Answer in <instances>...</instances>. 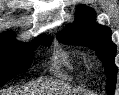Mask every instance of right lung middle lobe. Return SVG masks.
Segmentation results:
<instances>
[{
  "label": "right lung middle lobe",
  "instance_id": "1",
  "mask_svg": "<svg viewBox=\"0 0 119 95\" xmlns=\"http://www.w3.org/2000/svg\"><path fill=\"white\" fill-rule=\"evenodd\" d=\"M51 41L52 37L44 35L34 44L17 42L14 37H0V86L31 65L36 43L50 45Z\"/></svg>",
  "mask_w": 119,
  "mask_h": 95
}]
</instances>
